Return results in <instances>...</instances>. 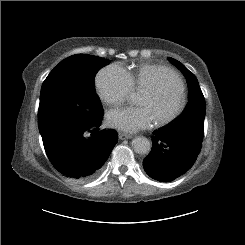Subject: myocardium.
I'll use <instances>...</instances> for the list:
<instances>
[{
  "label": "myocardium",
  "instance_id": "obj_1",
  "mask_svg": "<svg viewBox=\"0 0 245 245\" xmlns=\"http://www.w3.org/2000/svg\"><path fill=\"white\" fill-rule=\"evenodd\" d=\"M161 75H168L173 79L176 86L177 104L169 113L156 119V123L160 126L169 124L174 121L183 111L186 101L184 88L182 86L181 78L178 76V74L173 70L167 69L163 71ZM165 90L166 85H164L163 83H157L146 88L143 92H147L155 97H159L165 92Z\"/></svg>",
  "mask_w": 245,
  "mask_h": 245
}]
</instances>
